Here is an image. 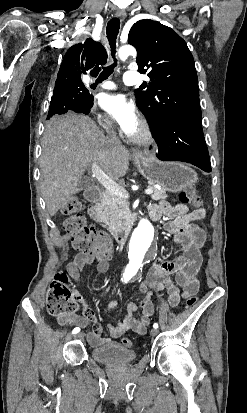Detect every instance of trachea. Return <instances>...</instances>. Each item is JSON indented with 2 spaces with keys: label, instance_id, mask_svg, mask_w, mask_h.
Wrapping results in <instances>:
<instances>
[{
  "label": "trachea",
  "instance_id": "3493384b",
  "mask_svg": "<svg viewBox=\"0 0 247 413\" xmlns=\"http://www.w3.org/2000/svg\"><path fill=\"white\" fill-rule=\"evenodd\" d=\"M120 20L119 18H112L107 24V37L111 45L112 56L115 60V63L108 67H103V72L99 75L98 80H106L112 73L113 69L117 64V60L114 57L115 55V42L117 35L119 33Z\"/></svg>",
  "mask_w": 247,
  "mask_h": 413
}]
</instances>
